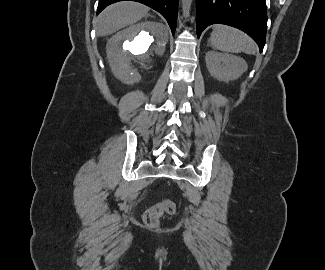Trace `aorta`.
I'll return each mask as SVG.
<instances>
[{
	"instance_id": "762f6f07",
	"label": "aorta",
	"mask_w": 325,
	"mask_h": 270,
	"mask_svg": "<svg viewBox=\"0 0 325 270\" xmlns=\"http://www.w3.org/2000/svg\"><path fill=\"white\" fill-rule=\"evenodd\" d=\"M192 0H182V13L185 18L190 14Z\"/></svg>"
}]
</instances>
